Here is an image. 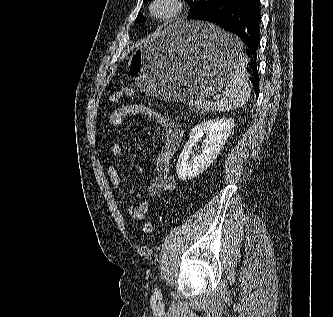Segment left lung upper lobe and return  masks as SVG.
I'll return each instance as SVG.
<instances>
[{"mask_svg":"<svg viewBox=\"0 0 333 317\" xmlns=\"http://www.w3.org/2000/svg\"><path fill=\"white\" fill-rule=\"evenodd\" d=\"M144 1H148V0H144ZM186 1L190 5V10H189V15H188V17H190L194 13H196V12L204 9L206 6H208L212 0H186ZM136 21L144 22V18H142V15L140 13L137 16Z\"/></svg>","mask_w":333,"mask_h":317,"instance_id":"left-lung-upper-lobe-1","label":"left lung upper lobe"}]
</instances>
